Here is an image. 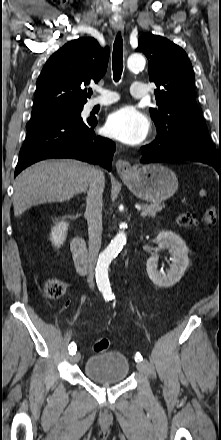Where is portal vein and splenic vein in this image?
Returning a JSON list of instances; mask_svg holds the SVG:
<instances>
[{
  "mask_svg": "<svg viewBox=\"0 0 221 440\" xmlns=\"http://www.w3.org/2000/svg\"><path fill=\"white\" fill-rule=\"evenodd\" d=\"M140 215L142 216V217H144V216H146L147 215V213L145 212V211H141V213H140Z\"/></svg>",
  "mask_w": 221,
  "mask_h": 440,
  "instance_id": "obj_1",
  "label": "portal vein and splenic vein"
}]
</instances>
